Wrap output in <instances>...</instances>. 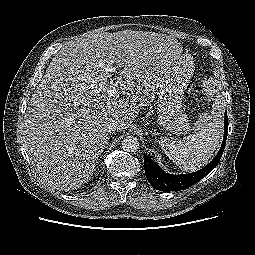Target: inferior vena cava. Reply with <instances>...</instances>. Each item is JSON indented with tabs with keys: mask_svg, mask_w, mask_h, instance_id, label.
<instances>
[{
	"mask_svg": "<svg viewBox=\"0 0 255 255\" xmlns=\"http://www.w3.org/2000/svg\"><path fill=\"white\" fill-rule=\"evenodd\" d=\"M119 129V124L115 120H111L106 125V130L108 133L115 132Z\"/></svg>",
	"mask_w": 255,
	"mask_h": 255,
	"instance_id": "602c4592",
	"label": "inferior vena cava"
}]
</instances>
